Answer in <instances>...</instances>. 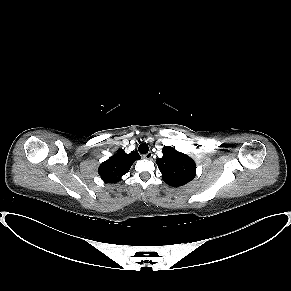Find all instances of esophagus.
<instances>
[{"mask_svg":"<svg viewBox=\"0 0 291 291\" xmlns=\"http://www.w3.org/2000/svg\"><path fill=\"white\" fill-rule=\"evenodd\" d=\"M143 157L145 158V159H152V157H153V154H152V152H148V153H146L145 155H143Z\"/></svg>","mask_w":291,"mask_h":291,"instance_id":"obj_1","label":"esophagus"}]
</instances>
